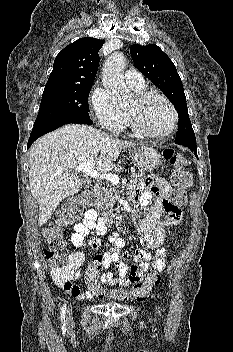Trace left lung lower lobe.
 Returning <instances> with one entry per match:
<instances>
[{"instance_id":"1","label":"left lung lower lobe","mask_w":233,"mask_h":352,"mask_svg":"<svg viewBox=\"0 0 233 352\" xmlns=\"http://www.w3.org/2000/svg\"><path fill=\"white\" fill-rule=\"evenodd\" d=\"M184 146L188 147L197 157V146H196V144H184Z\"/></svg>"}]
</instances>
